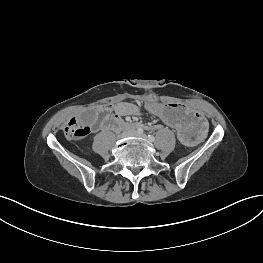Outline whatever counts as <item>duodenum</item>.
I'll list each match as a JSON object with an SVG mask.
<instances>
[{"label": "duodenum", "mask_w": 263, "mask_h": 263, "mask_svg": "<svg viewBox=\"0 0 263 263\" xmlns=\"http://www.w3.org/2000/svg\"><path fill=\"white\" fill-rule=\"evenodd\" d=\"M106 126L109 129L119 128L123 130H134V129L144 128L142 124L123 122L122 120H120L118 117H115V116H112L107 120Z\"/></svg>", "instance_id": "duodenum-1"}]
</instances>
